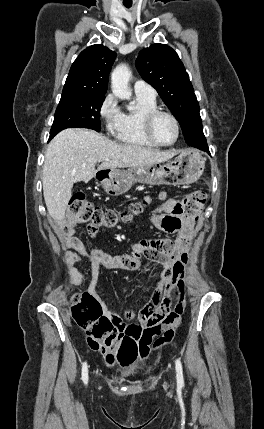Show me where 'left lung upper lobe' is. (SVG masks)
<instances>
[{
  "mask_svg": "<svg viewBox=\"0 0 264 429\" xmlns=\"http://www.w3.org/2000/svg\"><path fill=\"white\" fill-rule=\"evenodd\" d=\"M136 67L179 121L186 143L194 147L207 146L199 104L177 53L167 45L153 44L140 51Z\"/></svg>",
  "mask_w": 264,
  "mask_h": 429,
  "instance_id": "5c2ea615",
  "label": "left lung upper lobe"
}]
</instances>
